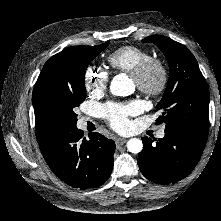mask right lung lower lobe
I'll return each instance as SVG.
<instances>
[{
    "instance_id": "obj_1",
    "label": "right lung lower lobe",
    "mask_w": 221,
    "mask_h": 221,
    "mask_svg": "<svg viewBox=\"0 0 221 221\" xmlns=\"http://www.w3.org/2000/svg\"><path fill=\"white\" fill-rule=\"evenodd\" d=\"M50 169L68 185L88 189L101 186L113 168L115 143L99 133L83 138V131L63 127L39 143Z\"/></svg>"
}]
</instances>
